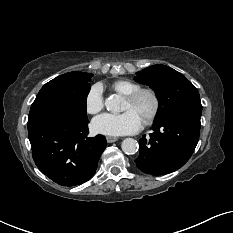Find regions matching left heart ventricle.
I'll list each match as a JSON object with an SVG mask.
<instances>
[{"label":"left heart ventricle","instance_id":"b2bd125f","mask_svg":"<svg viewBox=\"0 0 233 233\" xmlns=\"http://www.w3.org/2000/svg\"><path fill=\"white\" fill-rule=\"evenodd\" d=\"M151 108H152V98L149 94H143L135 102H129L125 100L123 105V111L133 110L142 119V121L150 112Z\"/></svg>","mask_w":233,"mask_h":233}]
</instances>
